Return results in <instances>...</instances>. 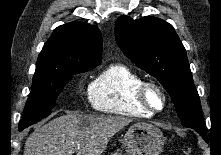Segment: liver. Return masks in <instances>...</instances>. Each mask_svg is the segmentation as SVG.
Instances as JSON below:
<instances>
[{"label":"liver","mask_w":221,"mask_h":155,"mask_svg":"<svg viewBox=\"0 0 221 155\" xmlns=\"http://www.w3.org/2000/svg\"><path fill=\"white\" fill-rule=\"evenodd\" d=\"M131 121L118 116L62 115L30 134L24 155H101L110 139Z\"/></svg>","instance_id":"1"}]
</instances>
